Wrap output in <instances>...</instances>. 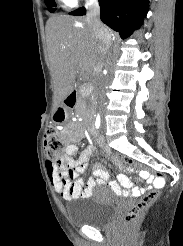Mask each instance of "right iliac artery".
Returning <instances> with one entry per match:
<instances>
[{
  "label": "right iliac artery",
  "mask_w": 183,
  "mask_h": 246,
  "mask_svg": "<svg viewBox=\"0 0 183 246\" xmlns=\"http://www.w3.org/2000/svg\"><path fill=\"white\" fill-rule=\"evenodd\" d=\"M95 126H96L97 129L100 127V115L99 114L96 117Z\"/></svg>",
  "instance_id": "82829eb1"
}]
</instances>
